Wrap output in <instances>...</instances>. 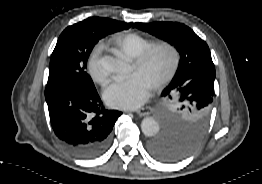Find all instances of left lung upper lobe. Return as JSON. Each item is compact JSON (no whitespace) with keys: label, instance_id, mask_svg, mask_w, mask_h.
<instances>
[{"label":"left lung upper lobe","instance_id":"obj_1","mask_svg":"<svg viewBox=\"0 0 262 184\" xmlns=\"http://www.w3.org/2000/svg\"><path fill=\"white\" fill-rule=\"evenodd\" d=\"M134 27L168 41L179 51V68L162 91L159 114L164 134L194 150L210 123L215 67L205 41L182 23H135Z\"/></svg>","mask_w":262,"mask_h":184}]
</instances>
